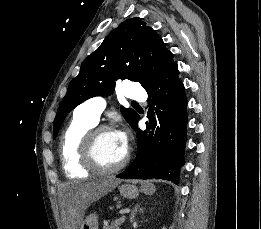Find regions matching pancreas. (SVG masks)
I'll list each match as a JSON object with an SVG mask.
<instances>
[{
    "label": "pancreas",
    "instance_id": "obj_1",
    "mask_svg": "<svg viewBox=\"0 0 261 229\" xmlns=\"http://www.w3.org/2000/svg\"><path fill=\"white\" fill-rule=\"evenodd\" d=\"M124 218V217H121ZM120 219H117V221H114V223H111V225H104L103 229H119L120 225L118 224V221Z\"/></svg>",
    "mask_w": 261,
    "mask_h": 229
}]
</instances>
